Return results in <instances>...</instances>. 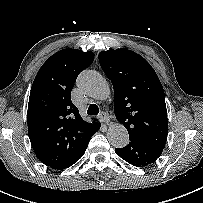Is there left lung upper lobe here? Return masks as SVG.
I'll return each instance as SVG.
<instances>
[{
    "instance_id": "1",
    "label": "left lung upper lobe",
    "mask_w": 203,
    "mask_h": 203,
    "mask_svg": "<svg viewBox=\"0 0 203 203\" xmlns=\"http://www.w3.org/2000/svg\"><path fill=\"white\" fill-rule=\"evenodd\" d=\"M99 62L113 84L116 119L128 130L130 138L164 149L167 109L154 69L143 57L127 49L102 51Z\"/></svg>"
}]
</instances>
